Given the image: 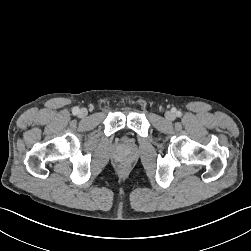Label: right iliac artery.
<instances>
[{
    "mask_svg": "<svg viewBox=\"0 0 251 251\" xmlns=\"http://www.w3.org/2000/svg\"><path fill=\"white\" fill-rule=\"evenodd\" d=\"M79 113V108L78 107H74L73 108V114H78Z\"/></svg>",
    "mask_w": 251,
    "mask_h": 251,
    "instance_id": "right-iliac-artery-1",
    "label": "right iliac artery"
}]
</instances>
